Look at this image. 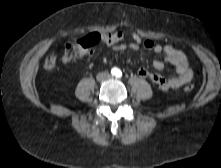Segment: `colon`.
<instances>
[{"label":"colon","mask_w":221,"mask_h":168,"mask_svg":"<svg viewBox=\"0 0 221 168\" xmlns=\"http://www.w3.org/2000/svg\"><path fill=\"white\" fill-rule=\"evenodd\" d=\"M127 37L138 48H143L146 45V40L141 38L138 32H132L128 35L124 29H114L113 31L100 34L93 33L84 38L66 43L60 54L54 52L45 59L44 67L47 70L53 69L59 58L63 62H69L83 56L99 42L113 44L123 42ZM192 90L193 86L191 85L185 87L186 92H191Z\"/></svg>","instance_id":"colon-1"}]
</instances>
